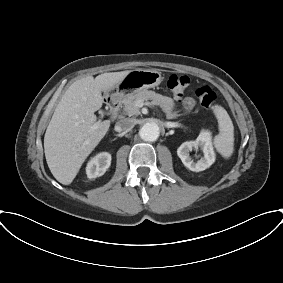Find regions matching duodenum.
I'll use <instances>...</instances> for the list:
<instances>
[{
  "instance_id": "duodenum-1",
  "label": "duodenum",
  "mask_w": 283,
  "mask_h": 283,
  "mask_svg": "<svg viewBox=\"0 0 283 283\" xmlns=\"http://www.w3.org/2000/svg\"><path fill=\"white\" fill-rule=\"evenodd\" d=\"M106 104L109 108L110 116L116 118L119 112L120 106V97L119 96H110L106 100Z\"/></svg>"
}]
</instances>
